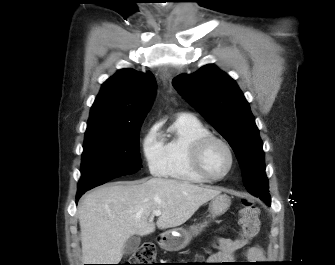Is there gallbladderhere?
<instances>
[{"label": "gallbladder", "instance_id": "gallbladder-1", "mask_svg": "<svg viewBox=\"0 0 335 265\" xmlns=\"http://www.w3.org/2000/svg\"><path fill=\"white\" fill-rule=\"evenodd\" d=\"M140 242L141 240L138 236L130 237L124 245L123 254L129 256L136 252L140 245Z\"/></svg>", "mask_w": 335, "mask_h": 265}]
</instances>
